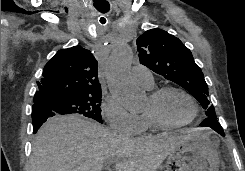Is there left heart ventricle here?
<instances>
[{"instance_id": "obj_1", "label": "left heart ventricle", "mask_w": 245, "mask_h": 171, "mask_svg": "<svg viewBox=\"0 0 245 171\" xmlns=\"http://www.w3.org/2000/svg\"><path fill=\"white\" fill-rule=\"evenodd\" d=\"M152 107L148 98L145 111ZM156 109L160 116L170 123H182L193 115V106L191 102L181 93L170 91L164 94L159 100Z\"/></svg>"}]
</instances>
